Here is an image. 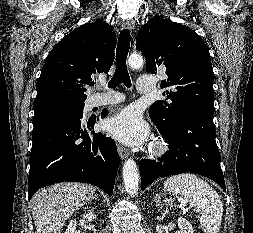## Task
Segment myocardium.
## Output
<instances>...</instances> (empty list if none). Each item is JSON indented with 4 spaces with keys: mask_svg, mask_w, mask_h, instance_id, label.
I'll list each match as a JSON object with an SVG mask.
<instances>
[{
    "mask_svg": "<svg viewBox=\"0 0 253 233\" xmlns=\"http://www.w3.org/2000/svg\"><path fill=\"white\" fill-rule=\"evenodd\" d=\"M168 150V146L165 142L160 141L154 146V152L156 154H163Z\"/></svg>",
    "mask_w": 253,
    "mask_h": 233,
    "instance_id": "f54148a6",
    "label": "myocardium"
}]
</instances>
